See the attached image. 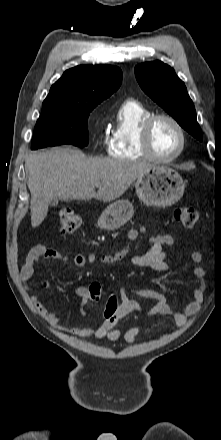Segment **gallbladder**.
I'll list each match as a JSON object with an SVG mask.
<instances>
[{
	"label": "gallbladder",
	"mask_w": 221,
	"mask_h": 440,
	"mask_svg": "<svg viewBox=\"0 0 221 440\" xmlns=\"http://www.w3.org/2000/svg\"><path fill=\"white\" fill-rule=\"evenodd\" d=\"M58 204V200L56 199V200H53L51 203H50V205L51 206H56Z\"/></svg>",
	"instance_id": "gallbladder-1"
}]
</instances>
